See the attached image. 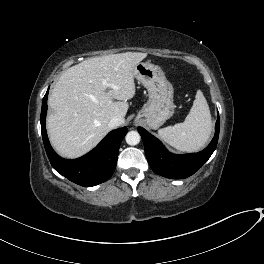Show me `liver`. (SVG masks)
<instances>
[{
    "label": "liver",
    "mask_w": 264,
    "mask_h": 264,
    "mask_svg": "<svg viewBox=\"0 0 264 264\" xmlns=\"http://www.w3.org/2000/svg\"><path fill=\"white\" fill-rule=\"evenodd\" d=\"M146 56L126 52L89 58L60 76L48 98L53 112L46 120L51 145L60 156L84 155L111 130V118L125 122L127 101L135 95L134 68Z\"/></svg>",
    "instance_id": "1"
}]
</instances>
